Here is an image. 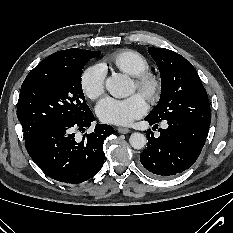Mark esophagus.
<instances>
[{
  "label": "esophagus",
  "instance_id": "34e87169",
  "mask_svg": "<svg viewBox=\"0 0 233 233\" xmlns=\"http://www.w3.org/2000/svg\"><path fill=\"white\" fill-rule=\"evenodd\" d=\"M117 131L121 134H128L130 133V130L128 128L118 127Z\"/></svg>",
  "mask_w": 233,
  "mask_h": 233
}]
</instances>
